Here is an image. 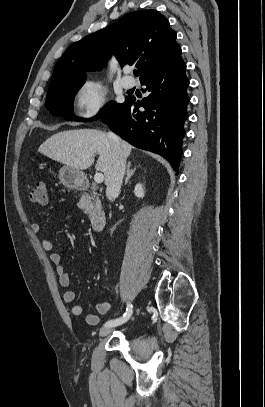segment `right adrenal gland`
<instances>
[{
	"mask_svg": "<svg viewBox=\"0 0 265 407\" xmlns=\"http://www.w3.org/2000/svg\"><path fill=\"white\" fill-rule=\"evenodd\" d=\"M130 167H131V162L129 161L127 164V173H126V178H125V182H124L125 185L128 183V181L133 176V174L136 170V168L130 169Z\"/></svg>",
	"mask_w": 265,
	"mask_h": 407,
	"instance_id": "1",
	"label": "right adrenal gland"
}]
</instances>
